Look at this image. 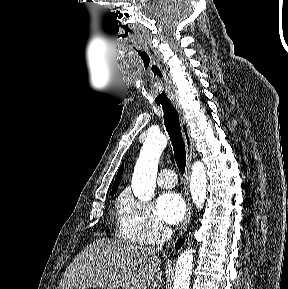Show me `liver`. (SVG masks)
Segmentation results:
<instances>
[{
	"label": "liver",
	"instance_id": "6515ba94",
	"mask_svg": "<svg viewBox=\"0 0 288 289\" xmlns=\"http://www.w3.org/2000/svg\"><path fill=\"white\" fill-rule=\"evenodd\" d=\"M161 264L151 247L98 239L74 258L58 289H159Z\"/></svg>",
	"mask_w": 288,
	"mask_h": 289
}]
</instances>
